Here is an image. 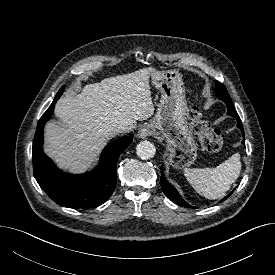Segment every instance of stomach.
Masks as SVG:
<instances>
[{
    "label": "stomach",
    "instance_id": "1",
    "mask_svg": "<svg viewBox=\"0 0 275 275\" xmlns=\"http://www.w3.org/2000/svg\"><path fill=\"white\" fill-rule=\"evenodd\" d=\"M152 84L161 92V99L150 127L169 148L168 161L177 168L189 167L197 157V147L187 121L184 83L176 70L153 71Z\"/></svg>",
    "mask_w": 275,
    "mask_h": 275
}]
</instances>
